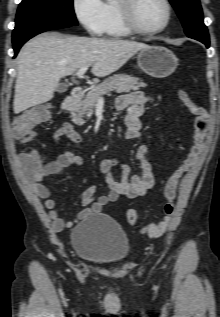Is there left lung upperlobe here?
<instances>
[{
    "label": "left lung upper lobe",
    "mask_w": 220,
    "mask_h": 317,
    "mask_svg": "<svg viewBox=\"0 0 220 317\" xmlns=\"http://www.w3.org/2000/svg\"><path fill=\"white\" fill-rule=\"evenodd\" d=\"M180 17L188 36L207 38L208 31L203 23L199 0H169Z\"/></svg>",
    "instance_id": "obj_1"
}]
</instances>
